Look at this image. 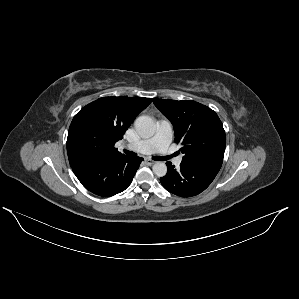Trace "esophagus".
<instances>
[{
	"instance_id": "esophagus-1",
	"label": "esophagus",
	"mask_w": 299,
	"mask_h": 299,
	"mask_svg": "<svg viewBox=\"0 0 299 299\" xmlns=\"http://www.w3.org/2000/svg\"><path fill=\"white\" fill-rule=\"evenodd\" d=\"M145 162L148 164V165H153L154 163H156L154 160L150 159V158H145Z\"/></svg>"
}]
</instances>
